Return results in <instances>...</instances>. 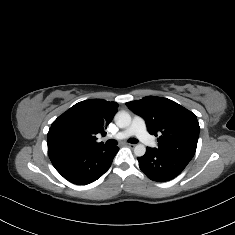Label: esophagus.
<instances>
[{
  "label": "esophagus",
  "mask_w": 235,
  "mask_h": 235,
  "mask_svg": "<svg viewBox=\"0 0 235 235\" xmlns=\"http://www.w3.org/2000/svg\"><path fill=\"white\" fill-rule=\"evenodd\" d=\"M125 146L133 149L135 147V144H130V143H124Z\"/></svg>",
  "instance_id": "34e87169"
}]
</instances>
